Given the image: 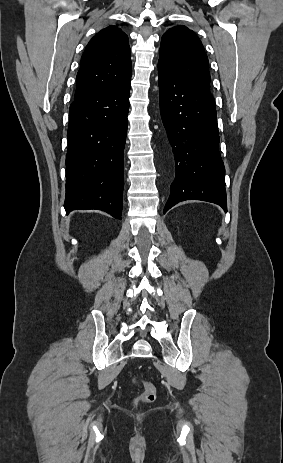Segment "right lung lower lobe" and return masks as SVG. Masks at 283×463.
<instances>
[{
    "instance_id": "1",
    "label": "right lung lower lobe",
    "mask_w": 283,
    "mask_h": 463,
    "mask_svg": "<svg viewBox=\"0 0 283 463\" xmlns=\"http://www.w3.org/2000/svg\"><path fill=\"white\" fill-rule=\"evenodd\" d=\"M130 79L76 98L69 109L65 210L121 220Z\"/></svg>"
}]
</instances>
